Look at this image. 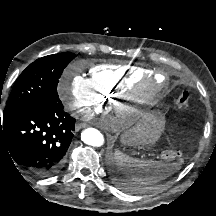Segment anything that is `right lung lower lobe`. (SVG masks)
Here are the masks:
<instances>
[{
	"label": "right lung lower lobe",
	"mask_w": 216,
	"mask_h": 216,
	"mask_svg": "<svg viewBox=\"0 0 216 216\" xmlns=\"http://www.w3.org/2000/svg\"><path fill=\"white\" fill-rule=\"evenodd\" d=\"M75 119L60 100L0 118V153L40 178L57 174L73 138Z\"/></svg>",
	"instance_id": "98d812e1"
}]
</instances>
